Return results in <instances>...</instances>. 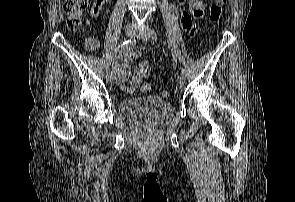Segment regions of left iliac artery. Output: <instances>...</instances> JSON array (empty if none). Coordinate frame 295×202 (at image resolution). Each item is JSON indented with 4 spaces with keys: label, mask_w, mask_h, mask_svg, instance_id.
Returning a JSON list of instances; mask_svg holds the SVG:
<instances>
[{
    "label": "left iliac artery",
    "mask_w": 295,
    "mask_h": 202,
    "mask_svg": "<svg viewBox=\"0 0 295 202\" xmlns=\"http://www.w3.org/2000/svg\"><path fill=\"white\" fill-rule=\"evenodd\" d=\"M150 36L153 40L157 41L158 35L154 30H150ZM181 75L186 76V70L181 68Z\"/></svg>",
    "instance_id": "1"
}]
</instances>
